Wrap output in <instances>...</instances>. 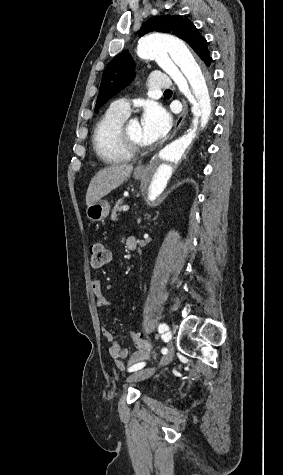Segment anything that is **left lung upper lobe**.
Returning a JSON list of instances; mask_svg holds the SVG:
<instances>
[{
	"label": "left lung upper lobe",
	"mask_w": 283,
	"mask_h": 475,
	"mask_svg": "<svg viewBox=\"0 0 283 475\" xmlns=\"http://www.w3.org/2000/svg\"><path fill=\"white\" fill-rule=\"evenodd\" d=\"M153 31L170 33L183 39L204 61L208 51L207 41L200 35L193 23L187 19L177 15L156 16L145 22L139 36ZM134 77V62L128 51H123L104 70L95 111L128 85Z\"/></svg>",
	"instance_id": "obj_1"
}]
</instances>
